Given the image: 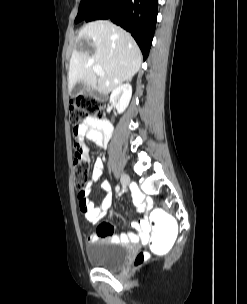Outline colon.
Returning <instances> with one entry per match:
<instances>
[{"instance_id":"colon-1","label":"colon","mask_w":247,"mask_h":304,"mask_svg":"<svg viewBox=\"0 0 247 304\" xmlns=\"http://www.w3.org/2000/svg\"><path fill=\"white\" fill-rule=\"evenodd\" d=\"M104 115V101L98 96H80L71 101L69 107V120L74 132L88 117L101 118ZM88 162H77L73 157V177L75 188L79 198L83 197L88 184ZM150 234L148 237L147 253H170L173 248V240L177 238V221L173 214H167V210H150ZM146 252H140L134 259V267L141 266L148 258Z\"/></svg>"}]
</instances>
